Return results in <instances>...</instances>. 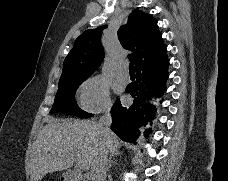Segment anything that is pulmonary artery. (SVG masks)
<instances>
[{
  "mask_svg": "<svg viewBox=\"0 0 228 181\" xmlns=\"http://www.w3.org/2000/svg\"><path fill=\"white\" fill-rule=\"evenodd\" d=\"M117 79H129V74H117Z\"/></svg>",
  "mask_w": 228,
  "mask_h": 181,
  "instance_id": "pulmonary-artery-1",
  "label": "pulmonary artery"
}]
</instances>
